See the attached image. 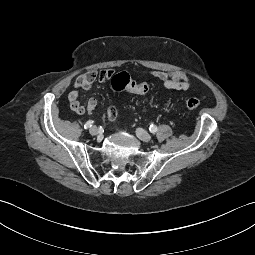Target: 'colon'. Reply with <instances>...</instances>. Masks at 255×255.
Segmentation results:
<instances>
[{"mask_svg": "<svg viewBox=\"0 0 255 255\" xmlns=\"http://www.w3.org/2000/svg\"><path fill=\"white\" fill-rule=\"evenodd\" d=\"M111 89L114 92H120L123 90H131L136 94H145L149 91V84L142 82L137 83L133 81L127 73L121 72L116 74L111 80ZM185 106L189 110H196L200 107V100L196 97H188L184 102Z\"/></svg>", "mask_w": 255, "mask_h": 255, "instance_id": "5ec220e1", "label": "colon"}]
</instances>
